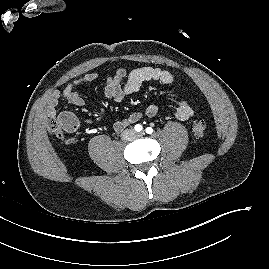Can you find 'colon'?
I'll list each match as a JSON object with an SVG mask.
<instances>
[{"label": "colon", "mask_w": 269, "mask_h": 269, "mask_svg": "<svg viewBox=\"0 0 269 269\" xmlns=\"http://www.w3.org/2000/svg\"><path fill=\"white\" fill-rule=\"evenodd\" d=\"M47 127L50 133L60 136L63 131L71 132L77 127L76 118L69 112H64L58 117L53 115L47 119ZM191 130L197 137L204 135L206 131V122L204 119H195L191 122Z\"/></svg>", "instance_id": "1"}]
</instances>
